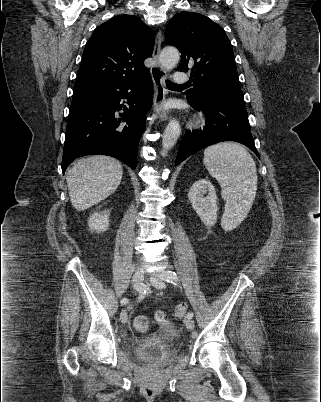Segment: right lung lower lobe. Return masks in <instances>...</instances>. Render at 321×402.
Masks as SVG:
<instances>
[{
  "mask_svg": "<svg viewBox=\"0 0 321 402\" xmlns=\"http://www.w3.org/2000/svg\"><path fill=\"white\" fill-rule=\"evenodd\" d=\"M127 99V105L120 104ZM153 101L152 78L107 82L73 92L69 109L62 172L84 155H108L137 166V148ZM123 110V113L116 111Z\"/></svg>",
  "mask_w": 321,
  "mask_h": 402,
  "instance_id": "1",
  "label": "right lung lower lobe"
}]
</instances>
